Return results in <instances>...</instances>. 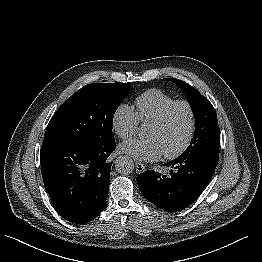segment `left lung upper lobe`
Wrapping results in <instances>:
<instances>
[{
  "label": "left lung upper lobe",
  "mask_w": 262,
  "mask_h": 262,
  "mask_svg": "<svg viewBox=\"0 0 262 262\" xmlns=\"http://www.w3.org/2000/svg\"><path fill=\"white\" fill-rule=\"evenodd\" d=\"M175 82L186 93L195 117V132L189 147L180 156L197 154L219 155L220 131L215 109L210 101L188 83L167 78Z\"/></svg>",
  "instance_id": "left-lung-upper-lobe-1"
}]
</instances>
